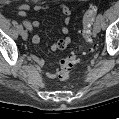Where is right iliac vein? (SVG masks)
I'll return each instance as SVG.
<instances>
[{
  "label": "right iliac vein",
  "mask_w": 119,
  "mask_h": 119,
  "mask_svg": "<svg viewBox=\"0 0 119 119\" xmlns=\"http://www.w3.org/2000/svg\"><path fill=\"white\" fill-rule=\"evenodd\" d=\"M21 37L23 38V40H27V38H28V33H27V31L23 30V31L21 32Z\"/></svg>",
  "instance_id": "63e3f726"
}]
</instances>
